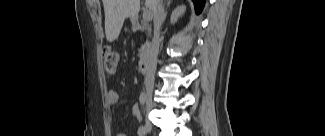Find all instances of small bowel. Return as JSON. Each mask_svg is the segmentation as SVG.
I'll use <instances>...</instances> for the list:
<instances>
[{
    "label": "small bowel",
    "mask_w": 325,
    "mask_h": 136,
    "mask_svg": "<svg viewBox=\"0 0 325 136\" xmlns=\"http://www.w3.org/2000/svg\"><path fill=\"white\" fill-rule=\"evenodd\" d=\"M119 100V95L116 90L109 89L106 93V102L109 105L116 104ZM130 111L133 114V116L137 119H140L141 117V110L140 107L136 102H132L130 104ZM118 136H124V134H119Z\"/></svg>",
    "instance_id": "obj_1"
}]
</instances>
